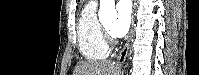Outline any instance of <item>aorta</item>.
Returning <instances> with one entry per match:
<instances>
[{"label":"aorta","mask_w":199,"mask_h":75,"mask_svg":"<svg viewBox=\"0 0 199 75\" xmlns=\"http://www.w3.org/2000/svg\"><path fill=\"white\" fill-rule=\"evenodd\" d=\"M98 15L101 22L116 20L117 11L115 9V1L100 0V9Z\"/></svg>","instance_id":"obj_1"}]
</instances>
